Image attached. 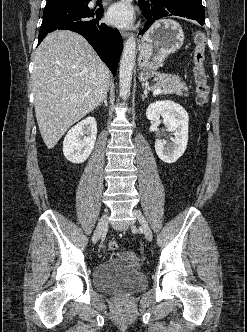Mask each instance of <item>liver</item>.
Instances as JSON below:
<instances>
[{
  "instance_id": "6515ba94",
  "label": "liver",
  "mask_w": 247,
  "mask_h": 332,
  "mask_svg": "<svg viewBox=\"0 0 247 332\" xmlns=\"http://www.w3.org/2000/svg\"><path fill=\"white\" fill-rule=\"evenodd\" d=\"M110 72L90 44L68 30L50 33L34 55L32 84L42 139L52 149L108 92Z\"/></svg>"
}]
</instances>
